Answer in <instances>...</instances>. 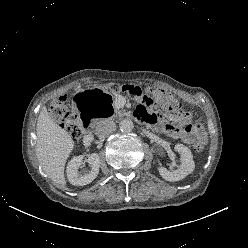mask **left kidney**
Instances as JSON below:
<instances>
[{"mask_svg":"<svg viewBox=\"0 0 248 248\" xmlns=\"http://www.w3.org/2000/svg\"><path fill=\"white\" fill-rule=\"evenodd\" d=\"M175 151H177L181 158V165L177 170L169 171L165 167H158L159 174L167 181L174 182L185 178L192 173L195 168L193 156L190 149L183 144H176Z\"/></svg>","mask_w":248,"mask_h":248,"instance_id":"1","label":"left kidney"}]
</instances>
